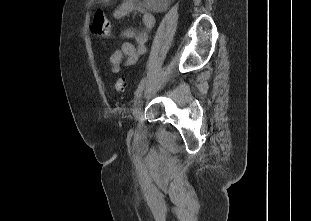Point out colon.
Here are the masks:
<instances>
[{
	"label": "colon",
	"mask_w": 311,
	"mask_h": 221,
	"mask_svg": "<svg viewBox=\"0 0 311 221\" xmlns=\"http://www.w3.org/2000/svg\"><path fill=\"white\" fill-rule=\"evenodd\" d=\"M91 30L98 37H107L113 33V25L111 22L98 11L94 15V24ZM126 89V81L124 78H118L113 83V90L116 92H123Z\"/></svg>",
	"instance_id": "obj_1"
}]
</instances>
